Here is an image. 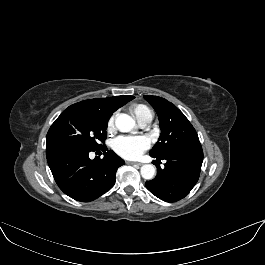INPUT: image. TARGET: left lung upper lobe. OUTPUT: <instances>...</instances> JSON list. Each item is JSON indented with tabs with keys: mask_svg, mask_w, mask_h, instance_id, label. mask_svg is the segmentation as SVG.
<instances>
[{
	"mask_svg": "<svg viewBox=\"0 0 265 265\" xmlns=\"http://www.w3.org/2000/svg\"><path fill=\"white\" fill-rule=\"evenodd\" d=\"M154 108L161 134L150 150L153 156H164L172 150L200 144L196 130L185 115L171 102L158 96H144Z\"/></svg>",
	"mask_w": 265,
	"mask_h": 265,
	"instance_id": "5c2ea615",
	"label": "left lung upper lobe"
}]
</instances>
